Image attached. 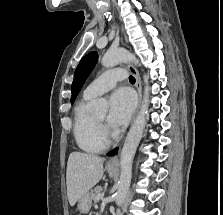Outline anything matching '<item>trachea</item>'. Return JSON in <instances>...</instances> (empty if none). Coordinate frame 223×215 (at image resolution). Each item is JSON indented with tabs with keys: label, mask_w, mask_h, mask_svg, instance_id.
<instances>
[{
	"label": "trachea",
	"mask_w": 223,
	"mask_h": 215,
	"mask_svg": "<svg viewBox=\"0 0 223 215\" xmlns=\"http://www.w3.org/2000/svg\"><path fill=\"white\" fill-rule=\"evenodd\" d=\"M129 81H130V83H135L136 80L132 75H130Z\"/></svg>",
	"instance_id": "obj_1"
}]
</instances>
